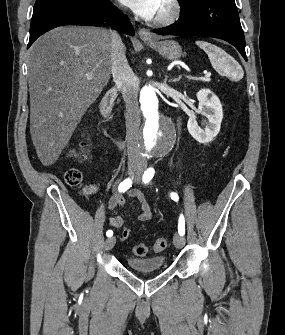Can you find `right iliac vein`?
<instances>
[{
  "label": "right iliac vein",
  "mask_w": 285,
  "mask_h": 335,
  "mask_svg": "<svg viewBox=\"0 0 285 335\" xmlns=\"http://www.w3.org/2000/svg\"><path fill=\"white\" fill-rule=\"evenodd\" d=\"M115 243H116L115 237L108 238L105 242V250L106 251L111 250L113 246L115 245Z\"/></svg>",
  "instance_id": "right-iliac-vein-1"
}]
</instances>
